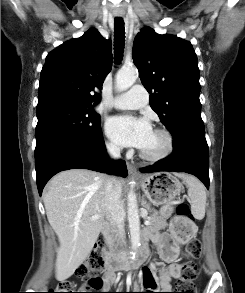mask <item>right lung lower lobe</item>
I'll list each match as a JSON object with an SVG mask.
<instances>
[{
  "label": "right lung lower lobe",
  "instance_id": "right-lung-lower-lobe-1",
  "mask_svg": "<svg viewBox=\"0 0 245 293\" xmlns=\"http://www.w3.org/2000/svg\"><path fill=\"white\" fill-rule=\"evenodd\" d=\"M39 195L48 180L63 170L81 168L102 173L128 175L124 161H111L106 153L102 134L94 139L66 140L47 148L35 158Z\"/></svg>",
  "mask_w": 245,
  "mask_h": 293
}]
</instances>
